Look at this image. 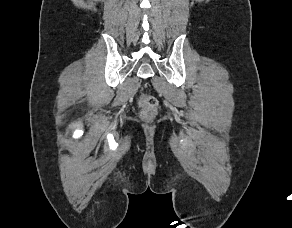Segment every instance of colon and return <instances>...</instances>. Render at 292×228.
Segmentation results:
<instances>
[{"instance_id": "colon-1", "label": "colon", "mask_w": 292, "mask_h": 228, "mask_svg": "<svg viewBox=\"0 0 292 228\" xmlns=\"http://www.w3.org/2000/svg\"><path fill=\"white\" fill-rule=\"evenodd\" d=\"M139 103L142 118L145 120L152 119L158 107V100L154 96L145 94L140 97Z\"/></svg>"}]
</instances>
